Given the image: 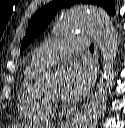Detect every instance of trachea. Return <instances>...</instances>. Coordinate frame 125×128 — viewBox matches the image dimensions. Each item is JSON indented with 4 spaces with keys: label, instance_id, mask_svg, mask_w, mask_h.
Returning <instances> with one entry per match:
<instances>
[{
    "label": "trachea",
    "instance_id": "trachea-1",
    "mask_svg": "<svg viewBox=\"0 0 125 128\" xmlns=\"http://www.w3.org/2000/svg\"><path fill=\"white\" fill-rule=\"evenodd\" d=\"M90 51H94V45L93 44L90 45Z\"/></svg>",
    "mask_w": 125,
    "mask_h": 128
}]
</instances>
